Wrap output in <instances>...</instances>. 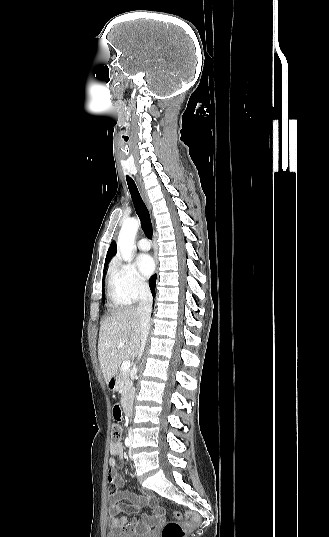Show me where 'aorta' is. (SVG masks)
<instances>
[{"label": "aorta", "instance_id": "1", "mask_svg": "<svg viewBox=\"0 0 329 537\" xmlns=\"http://www.w3.org/2000/svg\"><path fill=\"white\" fill-rule=\"evenodd\" d=\"M140 225V221L131 219L125 221L120 230L117 247L123 260L129 261L133 250V243Z\"/></svg>", "mask_w": 329, "mask_h": 537}]
</instances>
